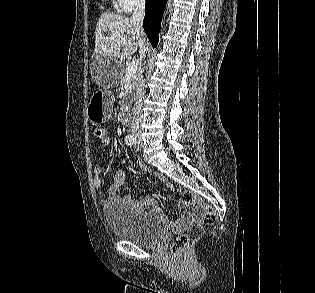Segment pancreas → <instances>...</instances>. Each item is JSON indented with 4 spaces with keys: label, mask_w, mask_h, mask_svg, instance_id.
Returning <instances> with one entry per match:
<instances>
[{
    "label": "pancreas",
    "mask_w": 315,
    "mask_h": 293,
    "mask_svg": "<svg viewBox=\"0 0 315 293\" xmlns=\"http://www.w3.org/2000/svg\"><path fill=\"white\" fill-rule=\"evenodd\" d=\"M137 73L133 74V76L130 78V82L128 84V86L125 88L124 87V84H125V81H124V78L121 80L120 82V88H119V91H123L125 93V97L129 94H132L133 93V90H134V81L137 77ZM125 97L122 99V107L125 106Z\"/></svg>",
    "instance_id": "1"
}]
</instances>
